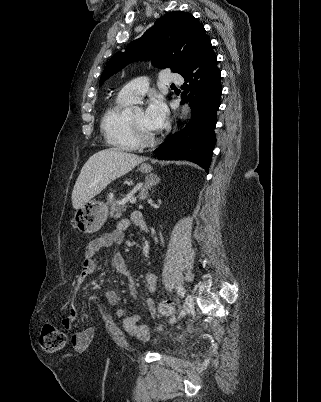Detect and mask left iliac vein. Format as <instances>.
Listing matches in <instances>:
<instances>
[{"instance_id": "left-iliac-vein-1", "label": "left iliac vein", "mask_w": 321, "mask_h": 402, "mask_svg": "<svg viewBox=\"0 0 321 402\" xmlns=\"http://www.w3.org/2000/svg\"><path fill=\"white\" fill-rule=\"evenodd\" d=\"M193 307H194V298L191 294H187L183 305V309L180 312V317H183L187 313H189L193 309Z\"/></svg>"}]
</instances>
